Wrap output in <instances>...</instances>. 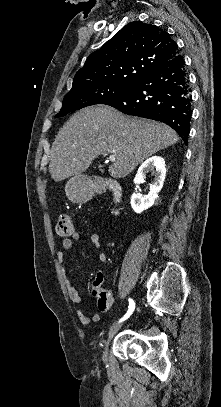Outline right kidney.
I'll use <instances>...</instances> for the list:
<instances>
[{
	"label": "right kidney",
	"instance_id": "ca27d5eb",
	"mask_svg": "<svg viewBox=\"0 0 221 407\" xmlns=\"http://www.w3.org/2000/svg\"><path fill=\"white\" fill-rule=\"evenodd\" d=\"M154 181L150 184V192L148 195L133 193L131 196V206L136 213H141L150 208L154 204L161 202L158 193L163 187L166 176L165 160L160 156H152L144 161L139 167L134 178V183L139 184L144 178L145 173L149 170H154Z\"/></svg>",
	"mask_w": 221,
	"mask_h": 407
}]
</instances>
